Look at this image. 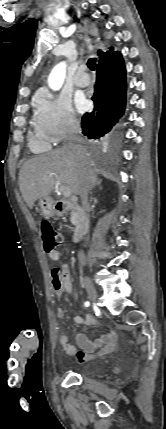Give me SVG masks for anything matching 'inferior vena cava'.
<instances>
[{
	"label": "inferior vena cava",
	"instance_id": "602c4592",
	"mask_svg": "<svg viewBox=\"0 0 166 429\" xmlns=\"http://www.w3.org/2000/svg\"><path fill=\"white\" fill-rule=\"evenodd\" d=\"M81 129L80 123L76 120H72L65 138L64 148L70 150L78 158L83 161V168L80 181V197L83 205L87 204L88 201V192L91 186V183L94 179V174L91 167L85 162V153L84 148L80 145L82 138L80 136ZM79 259L81 261L85 260L83 252H79Z\"/></svg>",
	"mask_w": 166,
	"mask_h": 429
}]
</instances>
